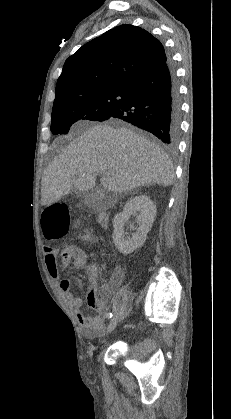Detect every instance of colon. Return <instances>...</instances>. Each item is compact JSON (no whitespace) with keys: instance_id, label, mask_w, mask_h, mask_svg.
I'll return each mask as SVG.
<instances>
[{"instance_id":"5ec220e1","label":"colon","mask_w":231,"mask_h":419,"mask_svg":"<svg viewBox=\"0 0 231 419\" xmlns=\"http://www.w3.org/2000/svg\"><path fill=\"white\" fill-rule=\"evenodd\" d=\"M43 226L52 237L66 234L70 228L69 210L65 204H53L43 212Z\"/></svg>"}]
</instances>
